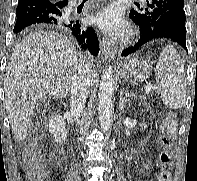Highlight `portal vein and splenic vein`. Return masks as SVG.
<instances>
[{
    "label": "portal vein and splenic vein",
    "mask_w": 197,
    "mask_h": 181,
    "mask_svg": "<svg viewBox=\"0 0 197 181\" xmlns=\"http://www.w3.org/2000/svg\"><path fill=\"white\" fill-rule=\"evenodd\" d=\"M152 89H153V87L151 85H148V86L145 87V92L147 94H149L152 91Z\"/></svg>",
    "instance_id": "portal-vein-and-splenic-vein-1"
}]
</instances>
